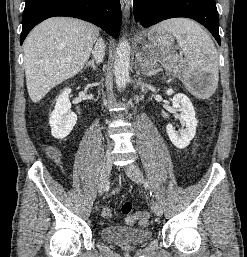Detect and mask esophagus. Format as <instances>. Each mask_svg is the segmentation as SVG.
Segmentation results:
<instances>
[{"instance_id":"34e87169","label":"esophagus","mask_w":247,"mask_h":257,"mask_svg":"<svg viewBox=\"0 0 247 257\" xmlns=\"http://www.w3.org/2000/svg\"><path fill=\"white\" fill-rule=\"evenodd\" d=\"M121 3V9L123 16L126 20H128L130 16V6H131V1L130 0H120Z\"/></svg>"}]
</instances>
